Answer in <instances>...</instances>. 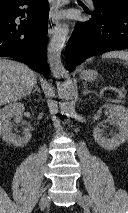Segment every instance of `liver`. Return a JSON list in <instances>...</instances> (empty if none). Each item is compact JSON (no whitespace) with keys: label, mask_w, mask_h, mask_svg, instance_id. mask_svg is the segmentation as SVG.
Here are the masks:
<instances>
[{"label":"liver","mask_w":128,"mask_h":213,"mask_svg":"<svg viewBox=\"0 0 128 213\" xmlns=\"http://www.w3.org/2000/svg\"><path fill=\"white\" fill-rule=\"evenodd\" d=\"M35 83V74L28 66L0 58V106L29 95Z\"/></svg>","instance_id":"obj_1"}]
</instances>
